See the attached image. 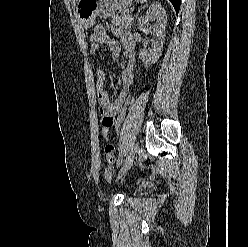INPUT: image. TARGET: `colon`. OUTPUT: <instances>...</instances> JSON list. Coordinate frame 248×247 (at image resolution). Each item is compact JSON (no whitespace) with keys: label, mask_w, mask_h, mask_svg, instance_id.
<instances>
[{"label":"colon","mask_w":248,"mask_h":247,"mask_svg":"<svg viewBox=\"0 0 248 247\" xmlns=\"http://www.w3.org/2000/svg\"><path fill=\"white\" fill-rule=\"evenodd\" d=\"M93 35L96 36L97 38H102L105 36V31H104V28L101 24H96L94 26ZM134 97H135L134 91L129 92L126 99H125L124 104L122 105L120 111L117 114V117H116L115 122H114V127H115L117 135L120 134V130H121L122 124L124 122L126 113L129 109V107L131 106V104L133 103Z\"/></svg>","instance_id":"obj_1"}]
</instances>
